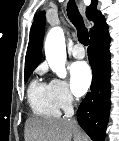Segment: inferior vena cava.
<instances>
[{
  "label": "inferior vena cava",
  "instance_id": "1",
  "mask_svg": "<svg viewBox=\"0 0 119 141\" xmlns=\"http://www.w3.org/2000/svg\"><path fill=\"white\" fill-rule=\"evenodd\" d=\"M71 121H72L75 125H78L76 119H72Z\"/></svg>",
  "mask_w": 119,
  "mask_h": 141
}]
</instances>
